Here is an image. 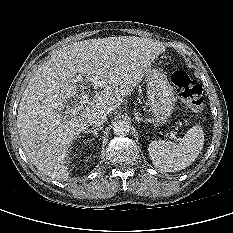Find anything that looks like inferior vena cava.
Segmentation results:
<instances>
[{
  "mask_svg": "<svg viewBox=\"0 0 233 233\" xmlns=\"http://www.w3.org/2000/svg\"><path fill=\"white\" fill-rule=\"evenodd\" d=\"M106 119L107 115L105 113L96 111L88 116L87 121L90 125L99 127L105 123Z\"/></svg>",
  "mask_w": 233,
  "mask_h": 233,
  "instance_id": "obj_1",
  "label": "inferior vena cava"
}]
</instances>
